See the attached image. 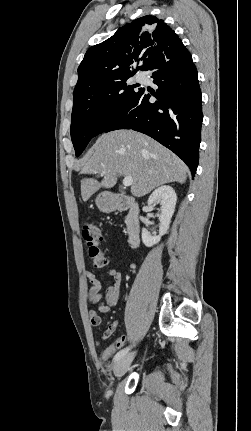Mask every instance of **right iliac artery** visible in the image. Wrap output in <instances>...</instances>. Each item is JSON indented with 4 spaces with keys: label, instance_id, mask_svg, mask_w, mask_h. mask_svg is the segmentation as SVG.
<instances>
[{
    "label": "right iliac artery",
    "instance_id": "1",
    "mask_svg": "<svg viewBox=\"0 0 251 431\" xmlns=\"http://www.w3.org/2000/svg\"><path fill=\"white\" fill-rule=\"evenodd\" d=\"M129 347L124 348L122 350H120L115 356H114V362L118 361L120 358H122L128 351H129Z\"/></svg>",
    "mask_w": 251,
    "mask_h": 431
}]
</instances>
